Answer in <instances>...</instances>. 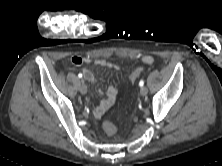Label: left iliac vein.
Returning <instances> with one entry per match:
<instances>
[{
    "label": "left iliac vein",
    "mask_w": 222,
    "mask_h": 166,
    "mask_svg": "<svg viewBox=\"0 0 222 166\" xmlns=\"http://www.w3.org/2000/svg\"><path fill=\"white\" fill-rule=\"evenodd\" d=\"M147 93H148L147 87L142 86V87L140 88V94H141L142 96H145Z\"/></svg>",
    "instance_id": "obj_1"
}]
</instances>
